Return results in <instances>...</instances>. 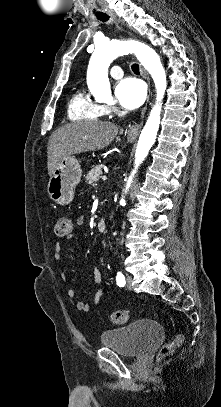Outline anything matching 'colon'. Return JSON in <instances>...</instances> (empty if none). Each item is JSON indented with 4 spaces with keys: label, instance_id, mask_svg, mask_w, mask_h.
Returning a JSON list of instances; mask_svg holds the SVG:
<instances>
[{
    "label": "colon",
    "instance_id": "1",
    "mask_svg": "<svg viewBox=\"0 0 221 407\" xmlns=\"http://www.w3.org/2000/svg\"><path fill=\"white\" fill-rule=\"evenodd\" d=\"M72 230V223L68 216L62 215L56 222L55 232L58 236L64 237L68 236ZM128 312L125 310L115 311L111 314L110 319L113 323L117 325H125L128 322ZM183 340V335L181 333L177 334L170 342H168L161 350L160 359H164L170 351L177 345H179Z\"/></svg>",
    "mask_w": 221,
    "mask_h": 407
}]
</instances>
